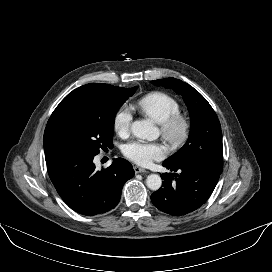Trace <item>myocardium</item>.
Wrapping results in <instances>:
<instances>
[{
  "label": "myocardium",
  "mask_w": 272,
  "mask_h": 272,
  "mask_svg": "<svg viewBox=\"0 0 272 272\" xmlns=\"http://www.w3.org/2000/svg\"><path fill=\"white\" fill-rule=\"evenodd\" d=\"M160 129L165 141L171 146H178L187 139L190 123L184 115L177 113L160 123Z\"/></svg>",
  "instance_id": "myocardium-1"
}]
</instances>
